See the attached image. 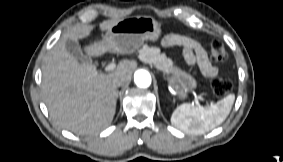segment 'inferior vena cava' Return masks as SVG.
Masks as SVG:
<instances>
[{"mask_svg": "<svg viewBox=\"0 0 283 162\" xmlns=\"http://www.w3.org/2000/svg\"><path fill=\"white\" fill-rule=\"evenodd\" d=\"M125 83V79L123 77H117L114 79V84L119 87Z\"/></svg>", "mask_w": 283, "mask_h": 162, "instance_id": "602c4592", "label": "inferior vena cava"}]
</instances>
